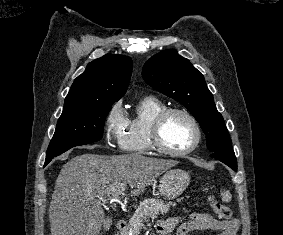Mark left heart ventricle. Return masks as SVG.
Instances as JSON below:
<instances>
[{
    "label": "left heart ventricle",
    "mask_w": 283,
    "mask_h": 235,
    "mask_svg": "<svg viewBox=\"0 0 283 235\" xmlns=\"http://www.w3.org/2000/svg\"><path fill=\"white\" fill-rule=\"evenodd\" d=\"M195 138V130L191 122L181 114H172L164 122L161 129V140L170 150L180 151L188 148Z\"/></svg>",
    "instance_id": "obj_1"
}]
</instances>
